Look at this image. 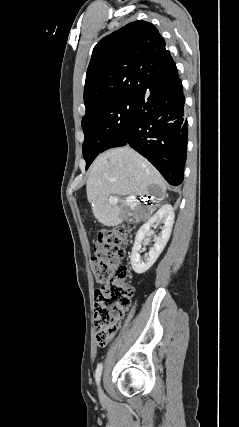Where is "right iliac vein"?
I'll return each instance as SVG.
<instances>
[{
    "mask_svg": "<svg viewBox=\"0 0 239 427\" xmlns=\"http://www.w3.org/2000/svg\"><path fill=\"white\" fill-rule=\"evenodd\" d=\"M99 395H100V397H103V391L100 387H99Z\"/></svg>",
    "mask_w": 239,
    "mask_h": 427,
    "instance_id": "63e3f726",
    "label": "right iliac vein"
}]
</instances>
